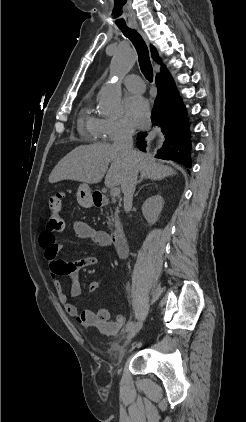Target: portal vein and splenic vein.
Segmentation results:
<instances>
[{
  "mask_svg": "<svg viewBox=\"0 0 246 422\" xmlns=\"http://www.w3.org/2000/svg\"><path fill=\"white\" fill-rule=\"evenodd\" d=\"M120 195V188L116 187L111 190V196L117 197Z\"/></svg>",
  "mask_w": 246,
  "mask_h": 422,
  "instance_id": "obj_1",
  "label": "portal vein and splenic vein"
}]
</instances>
